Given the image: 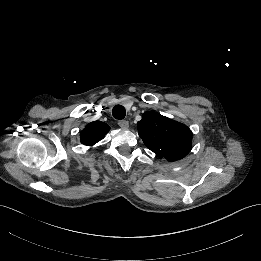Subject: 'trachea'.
Returning <instances> with one entry per match:
<instances>
[{"mask_svg":"<svg viewBox=\"0 0 261 261\" xmlns=\"http://www.w3.org/2000/svg\"><path fill=\"white\" fill-rule=\"evenodd\" d=\"M113 117L122 120L126 116V110L122 105H115L112 110Z\"/></svg>","mask_w":261,"mask_h":261,"instance_id":"obj_1","label":"trachea"}]
</instances>
